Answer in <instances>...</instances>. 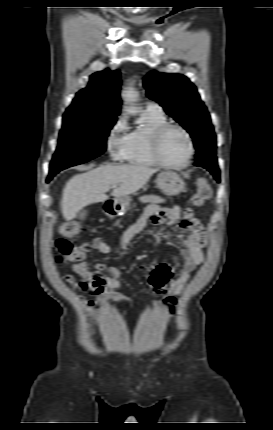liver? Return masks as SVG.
<instances>
[{"instance_id":"liver-1","label":"liver","mask_w":273,"mask_h":430,"mask_svg":"<svg viewBox=\"0 0 273 430\" xmlns=\"http://www.w3.org/2000/svg\"><path fill=\"white\" fill-rule=\"evenodd\" d=\"M156 171L143 165H101L74 175L63 189V217L70 221L76 218L85 206L107 200L105 193L111 186L118 185L112 192L116 198L133 194L141 189Z\"/></svg>"}]
</instances>
